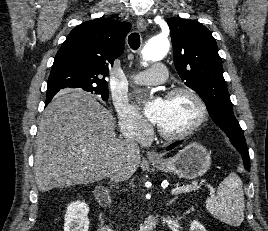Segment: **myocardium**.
I'll return each mask as SVG.
<instances>
[{
	"label": "myocardium",
	"instance_id": "myocardium-1",
	"mask_svg": "<svg viewBox=\"0 0 268 231\" xmlns=\"http://www.w3.org/2000/svg\"><path fill=\"white\" fill-rule=\"evenodd\" d=\"M180 95H186L192 99L197 108L196 118L191 125H189L186 129L177 132V133H169L164 131L159 125L156 126V131L159 136H161L165 140H181L187 138L191 134H193L206 119L207 116V107L203 100V98L192 88L189 87H177L170 90L166 99H170L173 97H177Z\"/></svg>",
	"mask_w": 268,
	"mask_h": 231
}]
</instances>
